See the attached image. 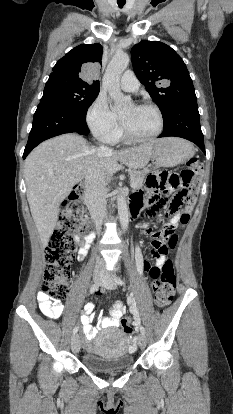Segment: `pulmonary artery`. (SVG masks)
<instances>
[{
	"mask_svg": "<svg viewBox=\"0 0 233 414\" xmlns=\"http://www.w3.org/2000/svg\"><path fill=\"white\" fill-rule=\"evenodd\" d=\"M140 83L133 71L127 70L121 77L120 87L127 92H135L138 90Z\"/></svg>",
	"mask_w": 233,
	"mask_h": 414,
	"instance_id": "obj_1",
	"label": "pulmonary artery"
}]
</instances>
